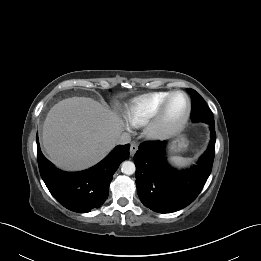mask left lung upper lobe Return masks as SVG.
I'll list each match as a JSON object with an SVG mask.
<instances>
[{"label":"left lung upper lobe","mask_w":261,"mask_h":261,"mask_svg":"<svg viewBox=\"0 0 261 261\" xmlns=\"http://www.w3.org/2000/svg\"><path fill=\"white\" fill-rule=\"evenodd\" d=\"M192 99L191 119L193 122H211L213 115L204 99L193 89H187Z\"/></svg>","instance_id":"obj_1"}]
</instances>
